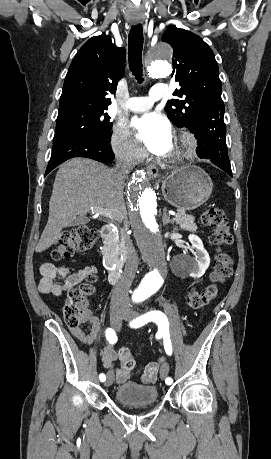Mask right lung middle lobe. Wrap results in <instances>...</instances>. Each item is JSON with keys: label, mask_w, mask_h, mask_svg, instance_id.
Wrapping results in <instances>:
<instances>
[{"label": "right lung middle lobe", "mask_w": 271, "mask_h": 459, "mask_svg": "<svg viewBox=\"0 0 271 459\" xmlns=\"http://www.w3.org/2000/svg\"><path fill=\"white\" fill-rule=\"evenodd\" d=\"M105 111L76 109L59 112L53 144L73 136L108 138L113 123Z\"/></svg>", "instance_id": "obj_1"}]
</instances>
